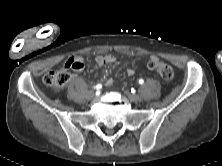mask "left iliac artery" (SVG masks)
<instances>
[{
  "label": "left iliac artery",
  "mask_w": 222,
  "mask_h": 166,
  "mask_svg": "<svg viewBox=\"0 0 222 166\" xmlns=\"http://www.w3.org/2000/svg\"><path fill=\"white\" fill-rule=\"evenodd\" d=\"M144 83V80L143 79H140L139 80V84H143Z\"/></svg>",
  "instance_id": "obj_1"
}]
</instances>
